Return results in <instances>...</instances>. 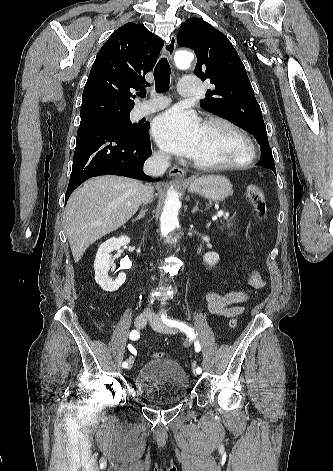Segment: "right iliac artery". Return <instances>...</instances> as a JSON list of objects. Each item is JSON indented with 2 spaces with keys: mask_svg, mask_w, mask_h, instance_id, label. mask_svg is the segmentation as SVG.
<instances>
[{
  "mask_svg": "<svg viewBox=\"0 0 333 471\" xmlns=\"http://www.w3.org/2000/svg\"><path fill=\"white\" fill-rule=\"evenodd\" d=\"M129 338H130L131 340H137V339H139V338H140L139 331H138V330H132V331L130 332V334H129ZM122 367H123V368H127V367H128V362H127V361L123 362Z\"/></svg>",
  "mask_w": 333,
  "mask_h": 471,
  "instance_id": "right-iliac-artery-1",
  "label": "right iliac artery"
}]
</instances>
